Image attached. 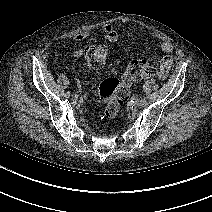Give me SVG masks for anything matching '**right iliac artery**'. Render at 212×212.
I'll return each instance as SVG.
<instances>
[{
    "instance_id": "1",
    "label": "right iliac artery",
    "mask_w": 212,
    "mask_h": 212,
    "mask_svg": "<svg viewBox=\"0 0 212 212\" xmlns=\"http://www.w3.org/2000/svg\"><path fill=\"white\" fill-rule=\"evenodd\" d=\"M70 91H67L66 93H65V97H67V98H69L70 97Z\"/></svg>"
}]
</instances>
